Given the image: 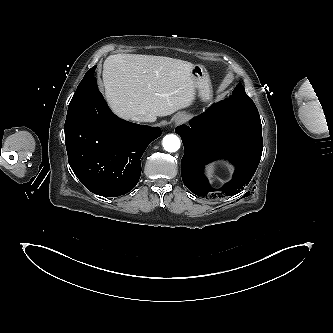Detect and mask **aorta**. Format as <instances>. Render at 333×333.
<instances>
[{
  "label": "aorta",
  "instance_id": "762f6f07",
  "mask_svg": "<svg viewBox=\"0 0 333 333\" xmlns=\"http://www.w3.org/2000/svg\"><path fill=\"white\" fill-rule=\"evenodd\" d=\"M163 148L167 152H176L180 148V139L174 134L166 135L163 138Z\"/></svg>",
  "mask_w": 333,
  "mask_h": 333
}]
</instances>
